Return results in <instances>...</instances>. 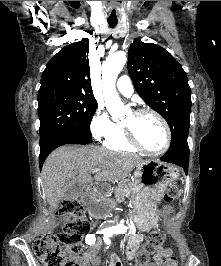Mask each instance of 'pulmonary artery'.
<instances>
[{
    "label": "pulmonary artery",
    "mask_w": 221,
    "mask_h": 266,
    "mask_svg": "<svg viewBox=\"0 0 221 266\" xmlns=\"http://www.w3.org/2000/svg\"><path fill=\"white\" fill-rule=\"evenodd\" d=\"M116 88L125 97H130L134 92L132 82L127 75H122L118 79L116 83Z\"/></svg>",
    "instance_id": "e3ab8cb5"
}]
</instances>
